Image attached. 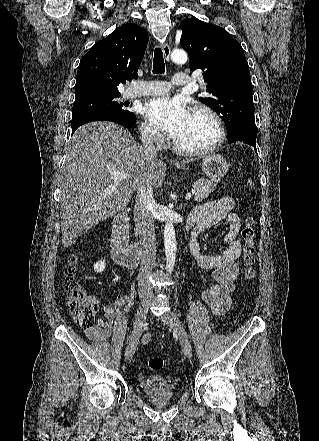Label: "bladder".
Returning <instances> with one entry per match:
<instances>
[{
  "instance_id": "1",
  "label": "bladder",
  "mask_w": 319,
  "mask_h": 441,
  "mask_svg": "<svg viewBox=\"0 0 319 441\" xmlns=\"http://www.w3.org/2000/svg\"><path fill=\"white\" fill-rule=\"evenodd\" d=\"M139 386L150 397L173 396L178 392V384L168 377L149 375L139 381Z\"/></svg>"
}]
</instances>
